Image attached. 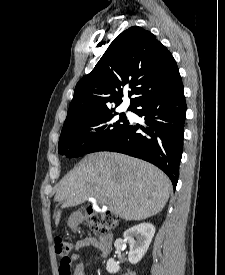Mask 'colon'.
Wrapping results in <instances>:
<instances>
[{
    "label": "colon",
    "instance_id": "colon-1",
    "mask_svg": "<svg viewBox=\"0 0 225 275\" xmlns=\"http://www.w3.org/2000/svg\"><path fill=\"white\" fill-rule=\"evenodd\" d=\"M85 219L92 225L93 228L102 232L114 230L118 226V217L116 214L109 211H96L90 207L84 208L82 211ZM73 244L70 240L62 237L54 238V249L56 254L61 256L59 262L60 275L71 274V264L68 255L71 252Z\"/></svg>",
    "mask_w": 225,
    "mask_h": 275
}]
</instances>
